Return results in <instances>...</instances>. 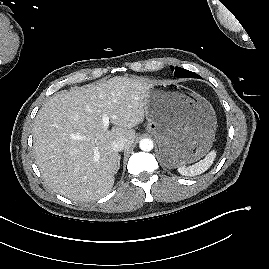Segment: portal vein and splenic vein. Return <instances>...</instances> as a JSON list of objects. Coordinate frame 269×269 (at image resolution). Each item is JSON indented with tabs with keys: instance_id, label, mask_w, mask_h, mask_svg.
<instances>
[{
	"instance_id": "portal-vein-and-splenic-vein-1",
	"label": "portal vein and splenic vein",
	"mask_w": 269,
	"mask_h": 269,
	"mask_svg": "<svg viewBox=\"0 0 269 269\" xmlns=\"http://www.w3.org/2000/svg\"><path fill=\"white\" fill-rule=\"evenodd\" d=\"M109 117L107 116V115H103V117H102V122H103V128L106 130V129H108V127H109ZM78 138H80V137H78ZM98 159H99V154L97 153V152H95V154H94V160L95 161H98Z\"/></svg>"
}]
</instances>
